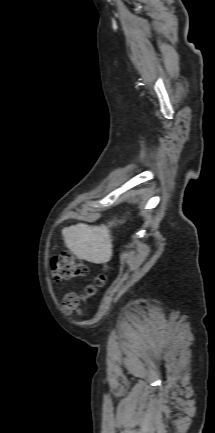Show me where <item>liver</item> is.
I'll return each instance as SVG.
<instances>
[{
    "mask_svg": "<svg viewBox=\"0 0 215 433\" xmlns=\"http://www.w3.org/2000/svg\"><path fill=\"white\" fill-rule=\"evenodd\" d=\"M113 225H116L115 221L110 222L107 226H89L79 223L66 227L62 230L64 242L81 260L95 264L107 263L111 260L113 252L110 232V227Z\"/></svg>",
    "mask_w": 215,
    "mask_h": 433,
    "instance_id": "6515ba94",
    "label": "liver"
}]
</instances>
